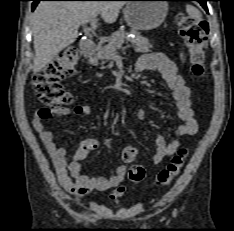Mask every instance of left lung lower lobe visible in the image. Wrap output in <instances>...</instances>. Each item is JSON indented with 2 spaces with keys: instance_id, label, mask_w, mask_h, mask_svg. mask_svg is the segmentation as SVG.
Masks as SVG:
<instances>
[{
  "instance_id": "obj_1",
  "label": "left lung lower lobe",
  "mask_w": 234,
  "mask_h": 231,
  "mask_svg": "<svg viewBox=\"0 0 234 231\" xmlns=\"http://www.w3.org/2000/svg\"><path fill=\"white\" fill-rule=\"evenodd\" d=\"M168 1H198L202 5V7L206 10V12H208L206 2L210 0H168Z\"/></svg>"
}]
</instances>
